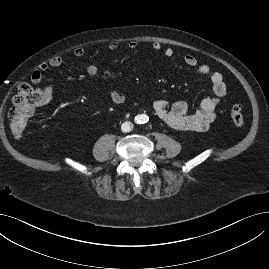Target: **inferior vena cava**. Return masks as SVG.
<instances>
[{
	"label": "inferior vena cava",
	"mask_w": 269,
	"mask_h": 269,
	"mask_svg": "<svg viewBox=\"0 0 269 269\" xmlns=\"http://www.w3.org/2000/svg\"><path fill=\"white\" fill-rule=\"evenodd\" d=\"M133 129V124L131 122H124L121 126L123 132H130Z\"/></svg>",
	"instance_id": "1"
}]
</instances>
